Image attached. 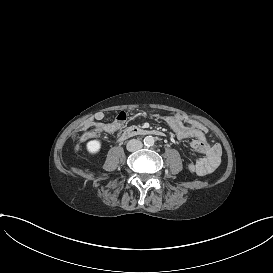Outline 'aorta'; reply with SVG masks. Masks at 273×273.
<instances>
[{
	"mask_svg": "<svg viewBox=\"0 0 273 273\" xmlns=\"http://www.w3.org/2000/svg\"><path fill=\"white\" fill-rule=\"evenodd\" d=\"M154 142H155V139L153 136H146L144 138V144L146 146H153L154 145Z\"/></svg>",
	"mask_w": 273,
	"mask_h": 273,
	"instance_id": "obj_1",
	"label": "aorta"
}]
</instances>
